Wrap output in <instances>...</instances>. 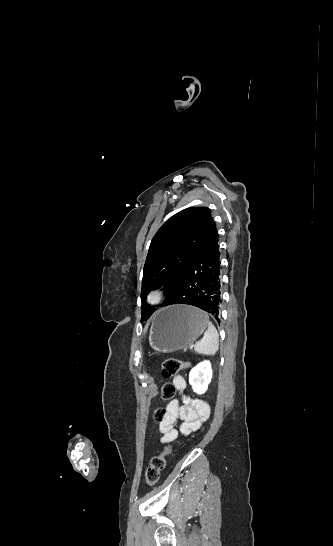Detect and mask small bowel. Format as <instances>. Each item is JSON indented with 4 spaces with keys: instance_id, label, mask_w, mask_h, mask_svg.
I'll return each mask as SVG.
<instances>
[{
    "instance_id": "small-bowel-1",
    "label": "small bowel",
    "mask_w": 333,
    "mask_h": 546,
    "mask_svg": "<svg viewBox=\"0 0 333 546\" xmlns=\"http://www.w3.org/2000/svg\"><path fill=\"white\" fill-rule=\"evenodd\" d=\"M172 384L179 393H184L187 388V382L181 375L175 376ZM210 412V406L200 399L183 396L181 402L172 400L167 404L164 416L158 425L161 443L175 441L180 433L189 435L191 432L199 430L208 420ZM179 420L182 424L177 428L176 424Z\"/></svg>"
}]
</instances>
